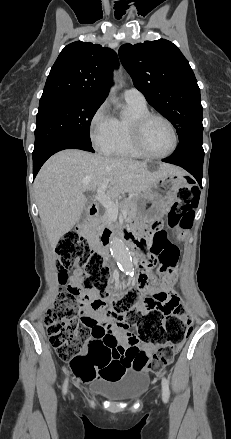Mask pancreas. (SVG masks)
<instances>
[{
    "instance_id": "obj_1",
    "label": "pancreas",
    "mask_w": 231,
    "mask_h": 439,
    "mask_svg": "<svg viewBox=\"0 0 231 439\" xmlns=\"http://www.w3.org/2000/svg\"><path fill=\"white\" fill-rule=\"evenodd\" d=\"M119 207L122 210H126L127 211V215L125 217V220L127 222L132 221L136 215H137V198L136 197H130L127 199H123L120 203H119ZM112 222V218L109 215V213L106 212L100 217L99 223L100 225H107L110 224Z\"/></svg>"
}]
</instances>
